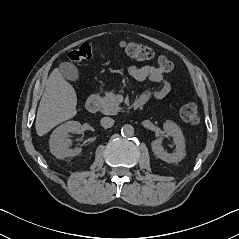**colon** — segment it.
<instances>
[{
  "label": "colon",
  "mask_w": 239,
  "mask_h": 239,
  "mask_svg": "<svg viewBox=\"0 0 239 239\" xmlns=\"http://www.w3.org/2000/svg\"><path fill=\"white\" fill-rule=\"evenodd\" d=\"M121 46L129 56L138 60H151L155 55L153 49L147 45L135 42H122ZM94 52L95 48L93 46L84 43L71 50L68 53V59L72 63L79 64L90 60L93 57ZM158 64L164 73H170L173 70L172 63L166 57H159ZM178 112L182 120L191 125H197L200 122L197 106L193 103L181 104L178 108Z\"/></svg>",
  "instance_id": "obj_1"
}]
</instances>
